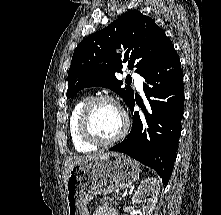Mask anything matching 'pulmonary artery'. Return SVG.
Segmentation results:
<instances>
[{
  "mask_svg": "<svg viewBox=\"0 0 221 215\" xmlns=\"http://www.w3.org/2000/svg\"><path fill=\"white\" fill-rule=\"evenodd\" d=\"M131 76L134 78L135 86H136L137 90L141 92L143 90L142 78L139 75H137L135 72H131Z\"/></svg>",
  "mask_w": 221,
  "mask_h": 215,
  "instance_id": "e3ab8cb5",
  "label": "pulmonary artery"
}]
</instances>
